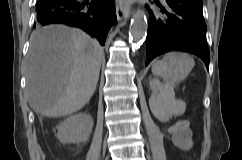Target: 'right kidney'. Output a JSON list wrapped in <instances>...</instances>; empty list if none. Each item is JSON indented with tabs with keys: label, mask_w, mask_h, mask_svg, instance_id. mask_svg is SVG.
<instances>
[{
	"label": "right kidney",
	"mask_w": 242,
	"mask_h": 160,
	"mask_svg": "<svg viewBox=\"0 0 242 160\" xmlns=\"http://www.w3.org/2000/svg\"><path fill=\"white\" fill-rule=\"evenodd\" d=\"M92 128L93 119L89 114H74L58 126L57 138L63 144L85 142L88 140Z\"/></svg>",
	"instance_id": "1"
}]
</instances>
